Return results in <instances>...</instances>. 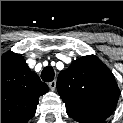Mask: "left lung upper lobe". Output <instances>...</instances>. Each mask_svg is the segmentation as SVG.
Returning <instances> with one entry per match:
<instances>
[{
    "instance_id": "obj_1",
    "label": "left lung upper lobe",
    "mask_w": 123,
    "mask_h": 123,
    "mask_svg": "<svg viewBox=\"0 0 123 123\" xmlns=\"http://www.w3.org/2000/svg\"><path fill=\"white\" fill-rule=\"evenodd\" d=\"M57 89L70 117L96 123L113 113L120 95L114 75L94 55L77 59L61 71Z\"/></svg>"
}]
</instances>
